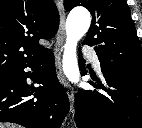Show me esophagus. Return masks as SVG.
Wrapping results in <instances>:
<instances>
[{
	"label": "esophagus",
	"instance_id": "obj_1",
	"mask_svg": "<svg viewBox=\"0 0 142 128\" xmlns=\"http://www.w3.org/2000/svg\"><path fill=\"white\" fill-rule=\"evenodd\" d=\"M56 5L59 11L60 16V26L59 31L56 37V41L54 44V56H55V64H56V71L58 79L65 89L67 96L69 98L70 102V112H74V91L71 88V86L66 81L63 72H62V63H61V57H62V51L65 41V20H66V13L64 10L63 0H57Z\"/></svg>",
	"mask_w": 142,
	"mask_h": 128
}]
</instances>
